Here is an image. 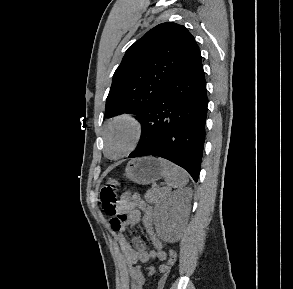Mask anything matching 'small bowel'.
I'll list each match as a JSON object with an SVG mask.
<instances>
[{
  "instance_id": "small-bowel-1",
  "label": "small bowel",
  "mask_w": 293,
  "mask_h": 289,
  "mask_svg": "<svg viewBox=\"0 0 293 289\" xmlns=\"http://www.w3.org/2000/svg\"><path fill=\"white\" fill-rule=\"evenodd\" d=\"M154 217L155 212L153 207L138 195L132 196L126 192L120 196L115 219L120 221L123 227L120 230H116L118 231L116 239L126 263L127 274L131 280L130 289H143L145 283L144 269L147 270L149 276L156 273L154 267H143L142 265L148 263L150 260H156L159 263L158 271L160 272L164 265L163 262L167 257L164 244L157 236L153 227ZM112 220L113 217L110 220L111 227L113 228ZM140 221H142L152 243L153 250L151 251L147 249L145 242L141 238L134 237L129 242L126 235L122 232L125 226L131 230L134 229Z\"/></svg>"
}]
</instances>
